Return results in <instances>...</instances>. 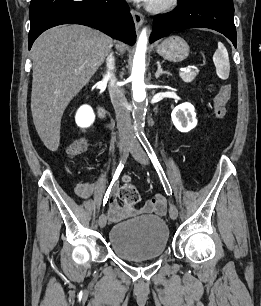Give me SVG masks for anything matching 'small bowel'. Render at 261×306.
<instances>
[{"label": "small bowel", "instance_id": "obj_1", "mask_svg": "<svg viewBox=\"0 0 261 306\" xmlns=\"http://www.w3.org/2000/svg\"><path fill=\"white\" fill-rule=\"evenodd\" d=\"M96 190L97 186L93 182H85L79 184L75 188V193L82 199H88L96 193ZM166 208L167 204L165 198L160 194H156L146 203L141 211L144 213H154L163 216L166 213ZM108 216L111 221H119L128 216V212H126L117 202L116 190L112 193L109 199Z\"/></svg>", "mask_w": 261, "mask_h": 306}]
</instances>
